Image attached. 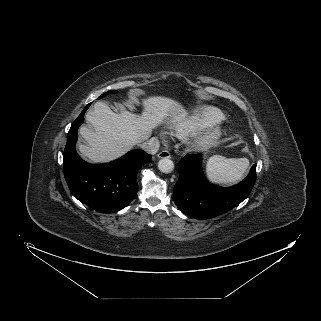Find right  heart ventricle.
Returning <instances> with one entry per match:
<instances>
[{
	"label": "right heart ventricle",
	"mask_w": 321,
	"mask_h": 321,
	"mask_svg": "<svg viewBox=\"0 0 321 321\" xmlns=\"http://www.w3.org/2000/svg\"><path fill=\"white\" fill-rule=\"evenodd\" d=\"M223 119L224 114L219 109L206 106L177 118L172 124V130L176 136L183 138Z\"/></svg>",
	"instance_id": "1"
}]
</instances>
